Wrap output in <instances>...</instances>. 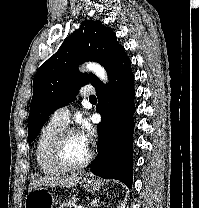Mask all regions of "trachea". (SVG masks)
<instances>
[{"label":"trachea","instance_id":"trachea-1","mask_svg":"<svg viewBox=\"0 0 199 208\" xmlns=\"http://www.w3.org/2000/svg\"><path fill=\"white\" fill-rule=\"evenodd\" d=\"M89 100H90V101H96L97 98H96L95 96H92V97L89 98Z\"/></svg>","mask_w":199,"mask_h":208}]
</instances>
